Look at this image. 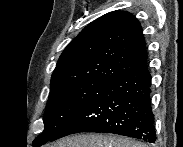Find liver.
<instances>
[{
	"mask_svg": "<svg viewBox=\"0 0 183 147\" xmlns=\"http://www.w3.org/2000/svg\"><path fill=\"white\" fill-rule=\"evenodd\" d=\"M52 147H146V145L120 136L80 134L64 138Z\"/></svg>",
	"mask_w": 183,
	"mask_h": 147,
	"instance_id": "6515ba94",
	"label": "liver"
}]
</instances>
